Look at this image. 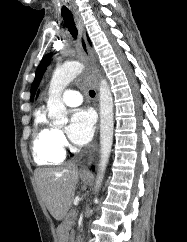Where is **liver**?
Listing matches in <instances>:
<instances>
[{"mask_svg": "<svg viewBox=\"0 0 187 242\" xmlns=\"http://www.w3.org/2000/svg\"><path fill=\"white\" fill-rule=\"evenodd\" d=\"M78 168H39L34 172L38 190L52 217L61 221L69 211L78 183Z\"/></svg>", "mask_w": 187, "mask_h": 242, "instance_id": "obj_1", "label": "liver"}]
</instances>
